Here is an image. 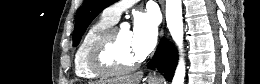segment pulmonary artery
Here are the masks:
<instances>
[{
	"mask_svg": "<svg viewBox=\"0 0 260 84\" xmlns=\"http://www.w3.org/2000/svg\"><path fill=\"white\" fill-rule=\"evenodd\" d=\"M135 1H119L116 4L109 6L103 12V14L113 22H116L120 14L127 8L131 7Z\"/></svg>",
	"mask_w": 260,
	"mask_h": 84,
	"instance_id": "pulmonary-artery-1",
	"label": "pulmonary artery"
}]
</instances>
